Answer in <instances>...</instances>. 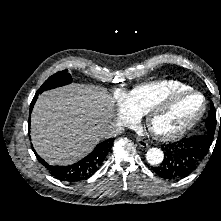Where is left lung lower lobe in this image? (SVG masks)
Segmentation results:
<instances>
[{
    "instance_id": "1",
    "label": "left lung lower lobe",
    "mask_w": 221,
    "mask_h": 221,
    "mask_svg": "<svg viewBox=\"0 0 221 221\" xmlns=\"http://www.w3.org/2000/svg\"><path fill=\"white\" fill-rule=\"evenodd\" d=\"M207 148L197 136L168 144L164 160L152 170L164 179L175 180L190 175L205 158Z\"/></svg>"
}]
</instances>
